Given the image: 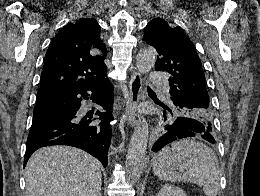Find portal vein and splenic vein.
Returning <instances> with one entry per match:
<instances>
[{
  "label": "portal vein and splenic vein",
  "instance_id": "portal-vein-and-splenic-vein-1",
  "mask_svg": "<svg viewBox=\"0 0 260 196\" xmlns=\"http://www.w3.org/2000/svg\"><path fill=\"white\" fill-rule=\"evenodd\" d=\"M180 172H184V170H180Z\"/></svg>",
  "mask_w": 260,
  "mask_h": 196
}]
</instances>
